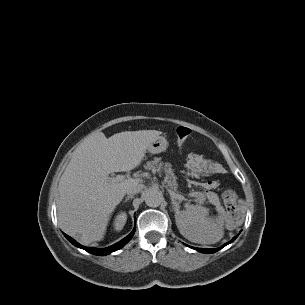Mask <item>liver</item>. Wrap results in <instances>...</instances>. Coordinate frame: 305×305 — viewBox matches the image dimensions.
Listing matches in <instances>:
<instances>
[{
    "mask_svg": "<svg viewBox=\"0 0 305 305\" xmlns=\"http://www.w3.org/2000/svg\"><path fill=\"white\" fill-rule=\"evenodd\" d=\"M157 130L125 131L106 138L96 132L73 152L59 182L57 214L64 232L88 245L104 238L110 216L138 178L108 181L113 172L130 171L142 162Z\"/></svg>",
    "mask_w": 305,
    "mask_h": 305,
    "instance_id": "1",
    "label": "liver"
}]
</instances>
